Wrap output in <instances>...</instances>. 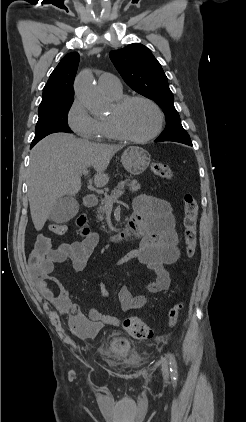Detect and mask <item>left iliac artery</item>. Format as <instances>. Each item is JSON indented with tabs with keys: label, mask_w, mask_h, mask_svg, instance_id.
<instances>
[{
	"label": "left iliac artery",
	"mask_w": 246,
	"mask_h": 422,
	"mask_svg": "<svg viewBox=\"0 0 246 422\" xmlns=\"http://www.w3.org/2000/svg\"><path fill=\"white\" fill-rule=\"evenodd\" d=\"M170 371L174 380L177 379V364L173 354L169 355Z\"/></svg>",
	"instance_id": "1"
}]
</instances>
